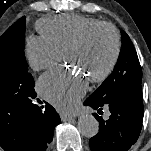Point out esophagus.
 Instances as JSON below:
<instances>
[{
    "label": "esophagus",
    "mask_w": 151,
    "mask_h": 151,
    "mask_svg": "<svg viewBox=\"0 0 151 151\" xmlns=\"http://www.w3.org/2000/svg\"><path fill=\"white\" fill-rule=\"evenodd\" d=\"M77 116V114H60L62 121H70L74 119Z\"/></svg>",
    "instance_id": "esophagus-1"
}]
</instances>
